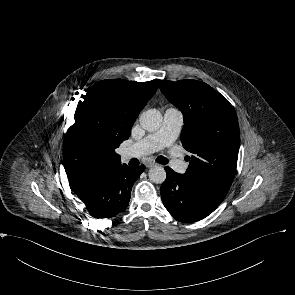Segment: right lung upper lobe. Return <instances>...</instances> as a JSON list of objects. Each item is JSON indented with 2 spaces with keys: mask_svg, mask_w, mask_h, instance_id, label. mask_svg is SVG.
Here are the masks:
<instances>
[{
  "mask_svg": "<svg viewBox=\"0 0 295 295\" xmlns=\"http://www.w3.org/2000/svg\"><path fill=\"white\" fill-rule=\"evenodd\" d=\"M115 80L120 83L122 95L136 116L155 94L160 81ZM127 136L128 134L124 133L116 138L89 137L81 133L75 124L69 128L63 145V161L70 188L74 193L95 173L121 164L115 149L128 139Z\"/></svg>",
  "mask_w": 295,
  "mask_h": 295,
  "instance_id": "obj_1",
  "label": "right lung upper lobe"
}]
</instances>
